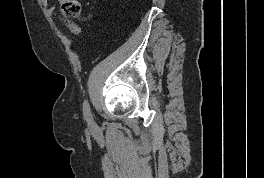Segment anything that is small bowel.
I'll use <instances>...</instances> for the list:
<instances>
[{"label": "small bowel", "instance_id": "obj_1", "mask_svg": "<svg viewBox=\"0 0 264 178\" xmlns=\"http://www.w3.org/2000/svg\"><path fill=\"white\" fill-rule=\"evenodd\" d=\"M41 1H42V4L47 7L48 12L50 14H54L56 12L55 6H48V0H41ZM61 20L72 33L79 34L81 32L80 27L76 23H74L72 20H69L64 17H61Z\"/></svg>", "mask_w": 264, "mask_h": 178}]
</instances>
